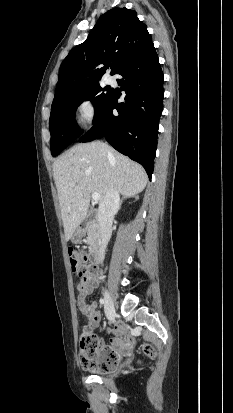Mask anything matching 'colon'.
Returning a JSON list of instances; mask_svg holds the SVG:
<instances>
[{"label":"colon","mask_w":233,"mask_h":413,"mask_svg":"<svg viewBox=\"0 0 233 413\" xmlns=\"http://www.w3.org/2000/svg\"><path fill=\"white\" fill-rule=\"evenodd\" d=\"M68 253L72 271L79 279V290L83 289L92 281L96 266L83 251L69 249ZM143 349L146 354L154 353L150 344H145ZM79 356L84 369L101 373L113 370L119 362V356L111 350H107L104 355L101 354L99 339L89 327H85L80 336Z\"/></svg>","instance_id":"5ec220e1"}]
</instances>
